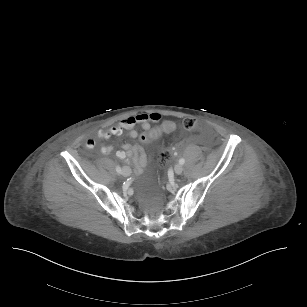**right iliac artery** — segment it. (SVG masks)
Instances as JSON below:
<instances>
[{
    "mask_svg": "<svg viewBox=\"0 0 307 307\" xmlns=\"http://www.w3.org/2000/svg\"><path fill=\"white\" fill-rule=\"evenodd\" d=\"M116 171H117V173L122 174V170L119 166H116Z\"/></svg>",
    "mask_w": 307,
    "mask_h": 307,
    "instance_id": "right-iliac-artery-1",
    "label": "right iliac artery"
}]
</instances>
